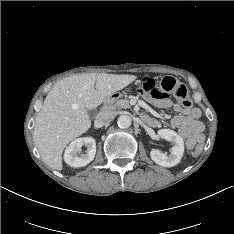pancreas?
I'll list each match as a JSON object with an SVG mask.
<instances>
[{
	"label": "pancreas",
	"instance_id": "obj_1",
	"mask_svg": "<svg viewBox=\"0 0 234 234\" xmlns=\"http://www.w3.org/2000/svg\"><path fill=\"white\" fill-rule=\"evenodd\" d=\"M105 109L108 110H116V109H127V108H131L130 104H129V100L127 98L124 99H120L118 100L116 103H112V102H107L104 105Z\"/></svg>",
	"mask_w": 234,
	"mask_h": 234
}]
</instances>
